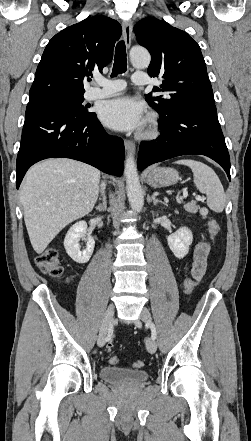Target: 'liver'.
<instances>
[{
    "label": "liver",
    "mask_w": 251,
    "mask_h": 441,
    "mask_svg": "<svg viewBox=\"0 0 251 441\" xmlns=\"http://www.w3.org/2000/svg\"><path fill=\"white\" fill-rule=\"evenodd\" d=\"M100 171L72 159L33 165L20 188L30 242L41 254L69 223L89 214L99 193Z\"/></svg>",
    "instance_id": "liver-1"
}]
</instances>
